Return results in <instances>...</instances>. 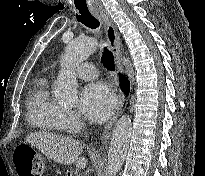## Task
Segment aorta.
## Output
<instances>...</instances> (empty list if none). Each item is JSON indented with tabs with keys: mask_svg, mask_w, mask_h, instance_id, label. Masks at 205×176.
I'll return each mask as SVG.
<instances>
[{
	"mask_svg": "<svg viewBox=\"0 0 205 176\" xmlns=\"http://www.w3.org/2000/svg\"><path fill=\"white\" fill-rule=\"evenodd\" d=\"M96 48L97 42L92 38L75 39L67 45L62 58V69L54 85L55 95L60 101L66 103H74L76 101L77 79L75 77V69ZM131 130L132 122L129 116L121 117L113 129L108 153L109 176H115L123 165Z\"/></svg>",
	"mask_w": 205,
	"mask_h": 176,
	"instance_id": "obj_1",
	"label": "aorta"
}]
</instances>
